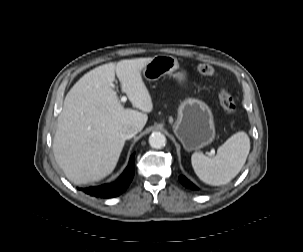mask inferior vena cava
<instances>
[{
	"mask_svg": "<svg viewBox=\"0 0 303 252\" xmlns=\"http://www.w3.org/2000/svg\"><path fill=\"white\" fill-rule=\"evenodd\" d=\"M137 132H138V128L135 126H124L121 129L120 134L124 140H128L134 137L137 134Z\"/></svg>",
	"mask_w": 303,
	"mask_h": 252,
	"instance_id": "1",
	"label": "inferior vena cava"
}]
</instances>
